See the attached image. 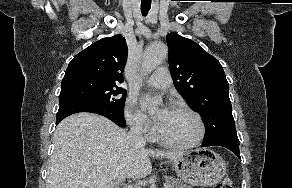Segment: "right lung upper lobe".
<instances>
[{
  "instance_id": "1",
  "label": "right lung upper lobe",
  "mask_w": 292,
  "mask_h": 188,
  "mask_svg": "<svg viewBox=\"0 0 292 188\" xmlns=\"http://www.w3.org/2000/svg\"><path fill=\"white\" fill-rule=\"evenodd\" d=\"M127 53L126 40L121 34L98 40L71 60L63 80L94 78L121 83Z\"/></svg>"
}]
</instances>
